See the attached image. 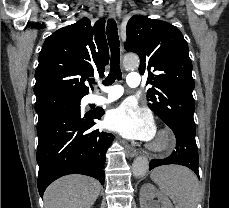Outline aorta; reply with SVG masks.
Here are the masks:
<instances>
[{
	"mask_svg": "<svg viewBox=\"0 0 229 208\" xmlns=\"http://www.w3.org/2000/svg\"><path fill=\"white\" fill-rule=\"evenodd\" d=\"M124 68L127 70L138 68L139 58L136 55L128 54L123 60ZM149 169V161L145 157H137L132 164V173L136 178L143 177Z\"/></svg>",
	"mask_w": 229,
	"mask_h": 208,
	"instance_id": "1",
	"label": "aorta"
}]
</instances>
